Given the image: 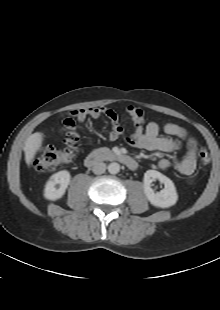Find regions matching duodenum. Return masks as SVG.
I'll list each match as a JSON object with an SVG mask.
<instances>
[{"mask_svg": "<svg viewBox=\"0 0 220 310\" xmlns=\"http://www.w3.org/2000/svg\"><path fill=\"white\" fill-rule=\"evenodd\" d=\"M102 161L119 162L132 171L137 169V162L132 157L108 149H98L89 153L84 159V164L92 167Z\"/></svg>", "mask_w": 220, "mask_h": 310, "instance_id": "1", "label": "duodenum"}]
</instances>
